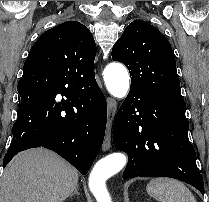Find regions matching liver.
Here are the masks:
<instances>
[{
  "label": "liver",
  "mask_w": 209,
  "mask_h": 202,
  "mask_svg": "<svg viewBox=\"0 0 209 202\" xmlns=\"http://www.w3.org/2000/svg\"><path fill=\"white\" fill-rule=\"evenodd\" d=\"M78 186V172L52 151L18 154L0 180V202H62Z\"/></svg>",
  "instance_id": "6515ba94"
}]
</instances>
